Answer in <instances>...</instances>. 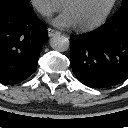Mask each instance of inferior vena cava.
<instances>
[{"mask_svg": "<svg viewBox=\"0 0 128 128\" xmlns=\"http://www.w3.org/2000/svg\"><path fill=\"white\" fill-rule=\"evenodd\" d=\"M37 10H38V12H40L43 15H48L51 13L50 8L44 4L37 6Z\"/></svg>", "mask_w": 128, "mask_h": 128, "instance_id": "obj_1", "label": "inferior vena cava"}]
</instances>
